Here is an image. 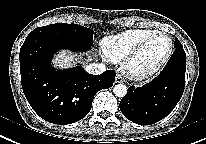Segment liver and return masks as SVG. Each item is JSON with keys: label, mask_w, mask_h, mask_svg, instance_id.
<instances>
[{"label": "liver", "mask_w": 206, "mask_h": 144, "mask_svg": "<svg viewBox=\"0 0 206 144\" xmlns=\"http://www.w3.org/2000/svg\"><path fill=\"white\" fill-rule=\"evenodd\" d=\"M74 59H76L75 56H73L70 52L63 50L54 58L53 62L58 67L67 68L73 64L72 62ZM86 60L89 61L90 57L88 56Z\"/></svg>", "instance_id": "1"}]
</instances>
